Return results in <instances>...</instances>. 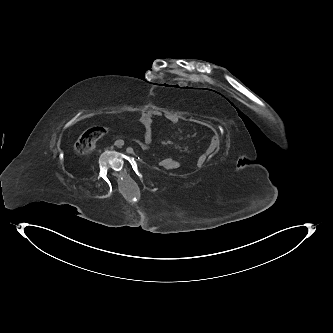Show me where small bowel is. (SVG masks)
<instances>
[{
    "label": "small bowel",
    "mask_w": 333,
    "mask_h": 333,
    "mask_svg": "<svg viewBox=\"0 0 333 333\" xmlns=\"http://www.w3.org/2000/svg\"><path fill=\"white\" fill-rule=\"evenodd\" d=\"M158 116H159L158 113H156L152 110H145L140 115V122L144 127V139H145L146 142H150L153 138L152 124H153L154 118H156ZM165 119L170 123H176L179 120L176 116H173V115L165 116ZM207 156H208L207 153L202 154L198 158L197 164L199 166L203 165L207 160ZM171 159H172V164L171 165H166L165 167H163L164 169H166V170H175V169L180 167V163L177 160H175L173 158H171Z\"/></svg>",
    "instance_id": "obj_1"
}]
</instances>
